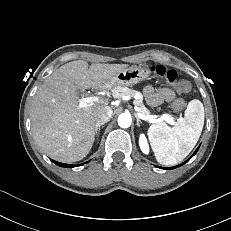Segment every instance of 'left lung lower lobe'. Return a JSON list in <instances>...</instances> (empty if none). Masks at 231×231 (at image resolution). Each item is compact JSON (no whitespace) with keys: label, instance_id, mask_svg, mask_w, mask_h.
Instances as JSON below:
<instances>
[{"label":"left lung lower lobe","instance_id":"1","mask_svg":"<svg viewBox=\"0 0 231 231\" xmlns=\"http://www.w3.org/2000/svg\"><path fill=\"white\" fill-rule=\"evenodd\" d=\"M198 149H199V147L197 148V150L193 153V155H192L190 158H192V157L196 154V152L198 151ZM190 158H189V159H190ZM185 162H187V161H185ZM185 162H184V163H185ZM184 163H182V164H180V165H178V166H176V167H179V166L183 165ZM176 167L162 168V169H173V168H176Z\"/></svg>","mask_w":231,"mask_h":231}]
</instances>
